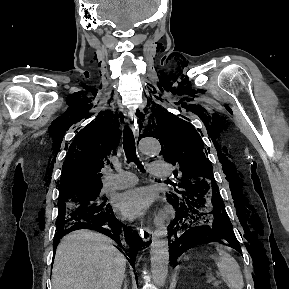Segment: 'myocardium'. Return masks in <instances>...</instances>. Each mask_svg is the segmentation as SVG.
Segmentation results:
<instances>
[{"label":"myocardium","instance_id":"myocardium-1","mask_svg":"<svg viewBox=\"0 0 289 289\" xmlns=\"http://www.w3.org/2000/svg\"><path fill=\"white\" fill-rule=\"evenodd\" d=\"M172 213H173V212L168 209V210H166V211L164 212V214H163L162 217H163L164 219H167V218H169V217L172 215Z\"/></svg>","mask_w":289,"mask_h":289}]
</instances>
